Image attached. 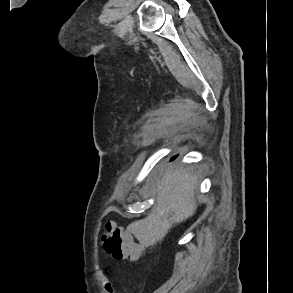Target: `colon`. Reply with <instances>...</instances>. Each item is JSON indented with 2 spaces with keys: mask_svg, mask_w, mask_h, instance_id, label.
<instances>
[{
  "mask_svg": "<svg viewBox=\"0 0 293 293\" xmlns=\"http://www.w3.org/2000/svg\"><path fill=\"white\" fill-rule=\"evenodd\" d=\"M102 243L106 251L116 259L137 260L144 250L142 244L135 242L132 235L114 221L106 222Z\"/></svg>",
  "mask_w": 293,
  "mask_h": 293,
  "instance_id": "5ec220e1",
  "label": "colon"
}]
</instances>
